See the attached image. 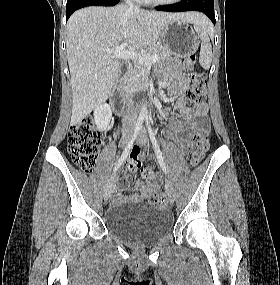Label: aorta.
Masks as SVG:
<instances>
[{
  "label": "aorta",
  "mask_w": 280,
  "mask_h": 285,
  "mask_svg": "<svg viewBox=\"0 0 280 285\" xmlns=\"http://www.w3.org/2000/svg\"><path fill=\"white\" fill-rule=\"evenodd\" d=\"M140 116L141 117H147L148 116V110L146 105H142L141 111H140Z\"/></svg>",
  "instance_id": "1"
}]
</instances>
